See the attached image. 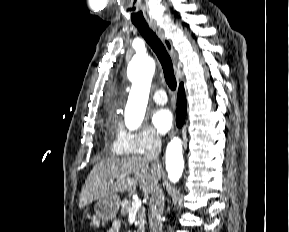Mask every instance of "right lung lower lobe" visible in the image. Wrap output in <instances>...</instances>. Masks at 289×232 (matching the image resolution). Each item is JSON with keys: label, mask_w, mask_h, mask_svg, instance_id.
Wrapping results in <instances>:
<instances>
[{"label": "right lung lower lobe", "mask_w": 289, "mask_h": 232, "mask_svg": "<svg viewBox=\"0 0 289 232\" xmlns=\"http://www.w3.org/2000/svg\"><path fill=\"white\" fill-rule=\"evenodd\" d=\"M176 114H177V126L182 127L186 116L185 91L183 84H180L179 86Z\"/></svg>", "instance_id": "98d812e1"}]
</instances>
